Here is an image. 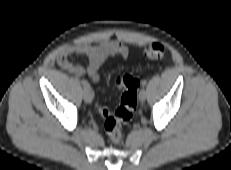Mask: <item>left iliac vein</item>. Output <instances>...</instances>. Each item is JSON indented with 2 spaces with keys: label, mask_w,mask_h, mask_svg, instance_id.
<instances>
[{
  "label": "left iliac vein",
  "mask_w": 231,
  "mask_h": 170,
  "mask_svg": "<svg viewBox=\"0 0 231 170\" xmlns=\"http://www.w3.org/2000/svg\"><path fill=\"white\" fill-rule=\"evenodd\" d=\"M139 99L141 102H144L146 99V91L145 89H141L140 93H139Z\"/></svg>",
  "instance_id": "left-iliac-vein-1"
}]
</instances>
